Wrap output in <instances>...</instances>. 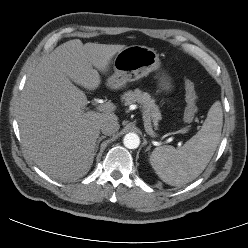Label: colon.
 <instances>
[{"label": "colon", "instance_id": "5ec220e1", "mask_svg": "<svg viewBox=\"0 0 248 248\" xmlns=\"http://www.w3.org/2000/svg\"><path fill=\"white\" fill-rule=\"evenodd\" d=\"M186 92L187 106L184 112V121L192 122L197 113V92L194 83L190 80H186L184 83Z\"/></svg>", "mask_w": 248, "mask_h": 248}]
</instances>
